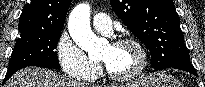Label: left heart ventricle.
I'll list each match as a JSON object with an SVG mask.
<instances>
[{
	"mask_svg": "<svg viewBox=\"0 0 205 87\" xmlns=\"http://www.w3.org/2000/svg\"><path fill=\"white\" fill-rule=\"evenodd\" d=\"M100 61L111 72L118 75H126L139 66L141 58L140 53L133 46L108 45L101 53Z\"/></svg>",
	"mask_w": 205,
	"mask_h": 87,
	"instance_id": "1",
	"label": "left heart ventricle"
}]
</instances>
